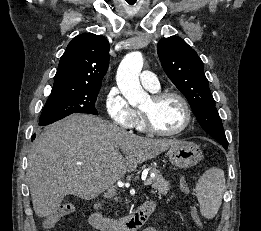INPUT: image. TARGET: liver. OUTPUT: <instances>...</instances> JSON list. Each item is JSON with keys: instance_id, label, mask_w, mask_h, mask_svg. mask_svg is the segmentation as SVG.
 I'll use <instances>...</instances> for the list:
<instances>
[{"instance_id": "liver-1", "label": "liver", "mask_w": 261, "mask_h": 231, "mask_svg": "<svg viewBox=\"0 0 261 231\" xmlns=\"http://www.w3.org/2000/svg\"><path fill=\"white\" fill-rule=\"evenodd\" d=\"M178 142L137 136L92 115L57 121L36 138L28 155L34 212L38 217L55 213L69 194L93 199Z\"/></svg>"}]
</instances>
